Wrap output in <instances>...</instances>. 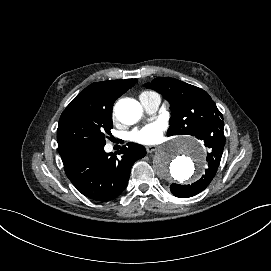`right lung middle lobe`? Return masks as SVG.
<instances>
[{"mask_svg":"<svg viewBox=\"0 0 271 271\" xmlns=\"http://www.w3.org/2000/svg\"><path fill=\"white\" fill-rule=\"evenodd\" d=\"M114 100L96 95L74 99L60 116L57 129L61 157L72 152L103 147L111 134Z\"/></svg>","mask_w":271,"mask_h":271,"instance_id":"dd1d6c3e","label":"right lung middle lobe"}]
</instances>
